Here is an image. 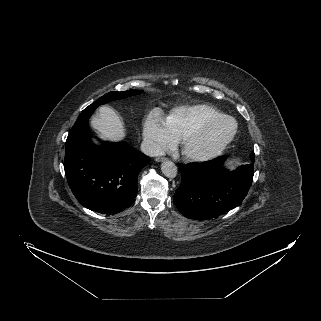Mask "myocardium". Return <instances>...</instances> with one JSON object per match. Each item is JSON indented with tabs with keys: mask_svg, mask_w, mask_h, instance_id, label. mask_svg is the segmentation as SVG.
<instances>
[{
	"mask_svg": "<svg viewBox=\"0 0 321 321\" xmlns=\"http://www.w3.org/2000/svg\"><path fill=\"white\" fill-rule=\"evenodd\" d=\"M225 121H229L232 123V129L228 133V135L225 136L216 146H214L212 149L207 151H195L190 148V144L192 141H194L196 138L204 134L212 126ZM237 131H238L237 122L231 116L222 115V116L210 118L208 120L203 121L193 129H191L181 138L180 144H181L182 153L188 159H191L193 161L202 162V161H208V160L214 159L219 155H221L224 152V150L230 145V143L234 140L237 134Z\"/></svg>",
	"mask_w": 321,
	"mask_h": 321,
	"instance_id": "obj_1",
	"label": "myocardium"
}]
</instances>
